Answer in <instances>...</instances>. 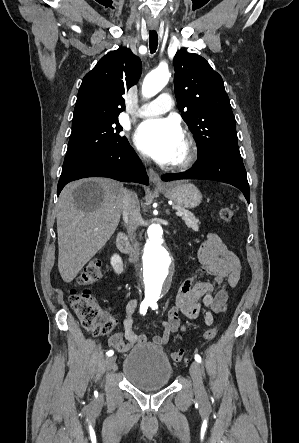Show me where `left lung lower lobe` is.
<instances>
[{"mask_svg":"<svg viewBox=\"0 0 299 443\" xmlns=\"http://www.w3.org/2000/svg\"><path fill=\"white\" fill-rule=\"evenodd\" d=\"M163 181L207 179L229 183L240 189L248 203L250 189L241 156L228 152H213L198 158L194 166L182 173L164 174Z\"/></svg>","mask_w":299,"mask_h":443,"instance_id":"0a47b994","label":"left lung lower lobe"}]
</instances>
